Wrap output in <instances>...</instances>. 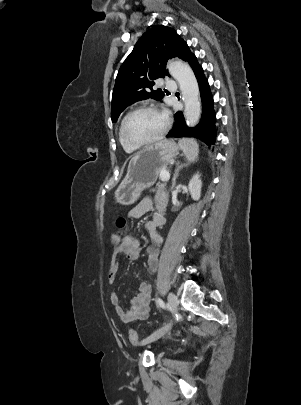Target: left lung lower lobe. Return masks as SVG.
Returning <instances> with one entry per match:
<instances>
[{"label": "left lung lower lobe", "instance_id": "obj_1", "mask_svg": "<svg viewBox=\"0 0 301 405\" xmlns=\"http://www.w3.org/2000/svg\"><path fill=\"white\" fill-rule=\"evenodd\" d=\"M187 62L193 69L199 84L202 100V117L196 127L190 128L186 125L183 114L177 112L174 115L175 124L166 137H194L202 140L208 146H212L216 141V115L213 108V97L204 71L193 53L189 56Z\"/></svg>", "mask_w": 301, "mask_h": 405}]
</instances>
